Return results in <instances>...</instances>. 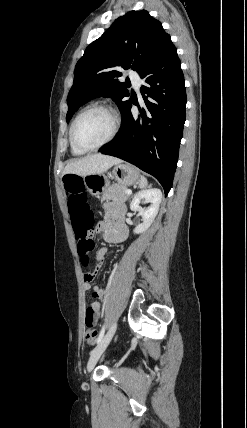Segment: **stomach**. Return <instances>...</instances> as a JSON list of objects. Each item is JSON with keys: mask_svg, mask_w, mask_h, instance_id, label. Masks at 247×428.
<instances>
[{"mask_svg": "<svg viewBox=\"0 0 247 428\" xmlns=\"http://www.w3.org/2000/svg\"><path fill=\"white\" fill-rule=\"evenodd\" d=\"M110 175L123 186H130L140 181L138 169L128 163L116 164ZM81 178L88 192L95 197L100 196L110 184L109 177L105 173L91 174Z\"/></svg>", "mask_w": 247, "mask_h": 428, "instance_id": "obj_1", "label": "stomach"}]
</instances>
